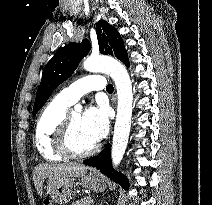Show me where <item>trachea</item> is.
Here are the masks:
<instances>
[{"instance_id":"3493384b","label":"trachea","mask_w":212,"mask_h":205,"mask_svg":"<svg viewBox=\"0 0 212 205\" xmlns=\"http://www.w3.org/2000/svg\"><path fill=\"white\" fill-rule=\"evenodd\" d=\"M107 92H113L114 88L112 84H108L106 87Z\"/></svg>"}]
</instances>
